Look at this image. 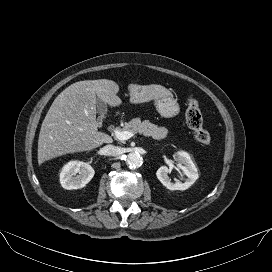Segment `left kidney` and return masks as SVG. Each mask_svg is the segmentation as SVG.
Instances as JSON below:
<instances>
[{
    "mask_svg": "<svg viewBox=\"0 0 272 272\" xmlns=\"http://www.w3.org/2000/svg\"><path fill=\"white\" fill-rule=\"evenodd\" d=\"M174 159L177 162V166L187 176L184 182H171L168 176L169 168L167 166H161L156 176L158 180L169 190H186L188 189L198 178V170L193 163L190 155L185 151H178L174 154Z\"/></svg>",
    "mask_w": 272,
    "mask_h": 272,
    "instance_id": "obj_1",
    "label": "left kidney"
}]
</instances>
